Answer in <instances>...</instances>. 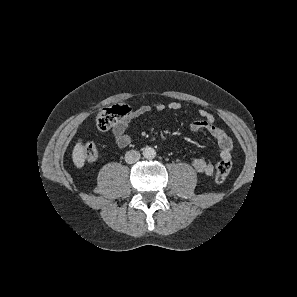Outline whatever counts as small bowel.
Segmentation results:
<instances>
[{
    "instance_id": "1",
    "label": "small bowel",
    "mask_w": 297,
    "mask_h": 297,
    "mask_svg": "<svg viewBox=\"0 0 297 297\" xmlns=\"http://www.w3.org/2000/svg\"><path fill=\"white\" fill-rule=\"evenodd\" d=\"M181 104L177 101H172L168 104H157L156 110L162 112L168 110H179ZM151 108L147 105L140 106L131 112L112 127V136L115 144L120 148L129 146L132 142V136L127 132L129 124L132 120L144 116L150 112ZM200 116L191 122L190 129L192 131H207L217 142L220 149L221 160H231L232 141L226 132L215 124L214 116L207 110L200 109L198 111ZM193 167L200 173L211 176L214 173V165L204 158H195L193 160Z\"/></svg>"
}]
</instances>
